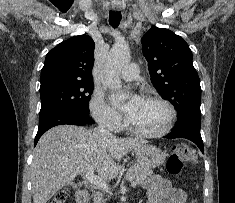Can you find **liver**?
<instances>
[{"label": "liver", "instance_id": "6515ba94", "mask_svg": "<svg viewBox=\"0 0 235 203\" xmlns=\"http://www.w3.org/2000/svg\"><path fill=\"white\" fill-rule=\"evenodd\" d=\"M145 140L107 138L97 130L75 125L51 128L38 141L31 164L33 203H47L79 174L96 171L103 181L115 178L120 160Z\"/></svg>", "mask_w": 235, "mask_h": 203}]
</instances>
